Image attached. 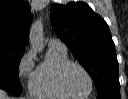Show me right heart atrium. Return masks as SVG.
<instances>
[{"instance_id": "1", "label": "right heart atrium", "mask_w": 128, "mask_h": 99, "mask_svg": "<svg viewBox=\"0 0 128 99\" xmlns=\"http://www.w3.org/2000/svg\"><path fill=\"white\" fill-rule=\"evenodd\" d=\"M35 53L33 50H28L20 59L18 65V74L21 79L31 81L34 72Z\"/></svg>"}]
</instances>
